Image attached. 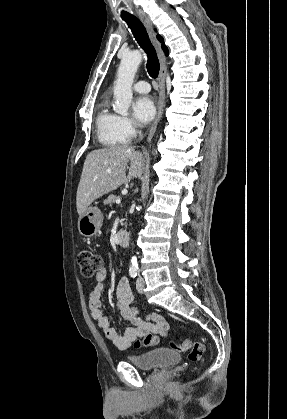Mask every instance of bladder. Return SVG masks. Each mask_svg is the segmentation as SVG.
<instances>
[{
  "mask_svg": "<svg viewBox=\"0 0 287 419\" xmlns=\"http://www.w3.org/2000/svg\"><path fill=\"white\" fill-rule=\"evenodd\" d=\"M128 361L144 370H163L176 365L180 357L171 349L158 348L141 355L130 356Z\"/></svg>",
  "mask_w": 287,
  "mask_h": 419,
  "instance_id": "1",
  "label": "bladder"
}]
</instances>
